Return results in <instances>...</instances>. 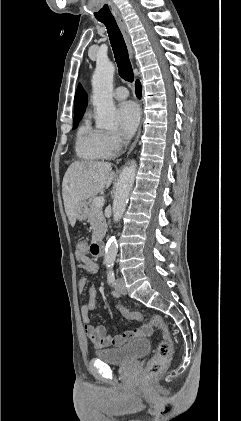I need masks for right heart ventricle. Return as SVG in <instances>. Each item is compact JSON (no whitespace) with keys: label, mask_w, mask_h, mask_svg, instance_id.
<instances>
[{"label":"right heart ventricle","mask_w":241,"mask_h":421,"mask_svg":"<svg viewBox=\"0 0 241 421\" xmlns=\"http://www.w3.org/2000/svg\"><path fill=\"white\" fill-rule=\"evenodd\" d=\"M99 133L88 121L80 125L75 146L80 158L91 161L107 158L100 144Z\"/></svg>","instance_id":"e07e8e85"}]
</instances>
